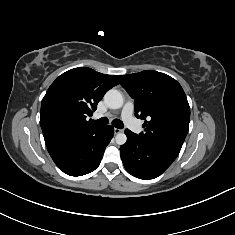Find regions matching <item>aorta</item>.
<instances>
[{
    "mask_svg": "<svg viewBox=\"0 0 235 235\" xmlns=\"http://www.w3.org/2000/svg\"><path fill=\"white\" fill-rule=\"evenodd\" d=\"M104 102L111 109H119L123 105V96L118 90L111 89L106 92ZM115 141L118 145H123L126 143L127 137L124 133H118Z\"/></svg>",
    "mask_w": 235,
    "mask_h": 235,
    "instance_id": "obj_1",
    "label": "aorta"
}]
</instances>
